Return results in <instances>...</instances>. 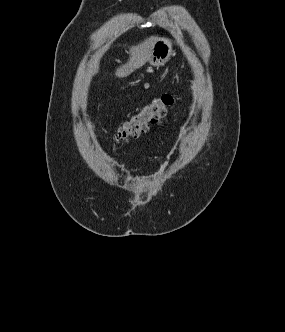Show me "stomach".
<instances>
[{
    "label": "stomach",
    "instance_id": "obj_1",
    "mask_svg": "<svg viewBox=\"0 0 285 332\" xmlns=\"http://www.w3.org/2000/svg\"><path fill=\"white\" fill-rule=\"evenodd\" d=\"M174 55L173 43L167 38H158L153 46L150 64L155 67L163 66Z\"/></svg>",
    "mask_w": 285,
    "mask_h": 332
}]
</instances>
